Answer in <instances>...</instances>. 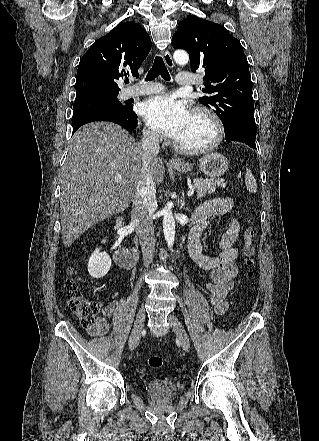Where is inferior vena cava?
Returning a JSON list of instances; mask_svg holds the SVG:
<instances>
[{
  "mask_svg": "<svg viewBox=\"0 0 319 441\" xmlns=\"http://www.w3.org/2000/svg\"><path fill=\"white\" fill-rule=\"evenodd\" d=\"M159 147V134L151 130L145 131L142 139L144 176L132 210V221L136 225L145 265L152 262L155 246L152 216L156 205V185L149 164L150 160L157 157Z\"/></svg>",
  "mask_w": 319,
  "mask_h": 441,
  "instance_id": "1",
  "label": "inferior vena cava"
}]
</instances>
